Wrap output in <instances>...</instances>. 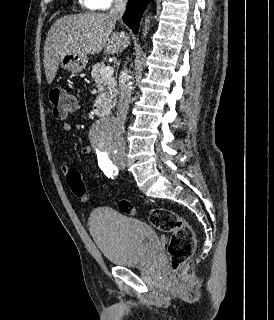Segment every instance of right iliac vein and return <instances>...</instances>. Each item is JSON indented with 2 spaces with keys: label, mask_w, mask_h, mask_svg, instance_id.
<instances>
[{
  "label": "right iliac vein",
  "mask_w": 274,
  "mask_h": 320,
  "mask_svg": "<svg viewBox=\"0 0 274 320\" xmlns=\"http://www.w3.org/2000/svg\"><path fill=\"white\" fill-rule=\"evenodd\" d=\"M117 164L123 165V164H125V161L124 160H118Z\"/></svg>",
  "instance_id": "63e3f726"
}]
</instances>
